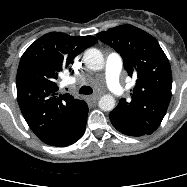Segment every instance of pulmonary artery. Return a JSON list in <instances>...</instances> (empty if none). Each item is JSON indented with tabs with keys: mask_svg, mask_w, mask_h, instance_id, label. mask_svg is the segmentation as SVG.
Wrapping results in <instances>:
<instances>
[{
	"mask_svg": "<svg viewBox=\"0 0 187 187\" xmlns=\"http://www.w3.org/2000/svg\"><path fill=\"white\" fill-rule=\"evenodd\" d=\"M122 69V61L118 54L111 53L106 60L105 78L108 88L116 95L123 92L119 77Z\"/></svg>",
	"mask_w": 187,
	"mask_h": 187,
	"instance_id": "1",
	"label": "pulmonary artery"
}]
</instances>
